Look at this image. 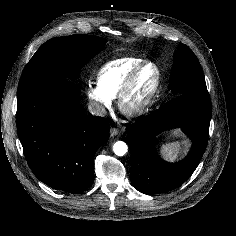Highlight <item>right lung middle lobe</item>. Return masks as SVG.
Here are the masks:
<instances>
[{"instance_id": "dd1d6c3e", "label": "right lung middle lobe", "mask_w": 236, "mask_h": 236, "mask_svg": "<svg viewBox=\"0 0 236 236\" xmlns=\"http://www.w3.org/2000/svg\"><path fill=\"white\" fill-rule=\"evenodd\" d=\"M106 39L90 35L56 37L45 42L33 55L21 75L18 88L30 83L67 79L105 46Z\"/></svg>"}]
</instances>
